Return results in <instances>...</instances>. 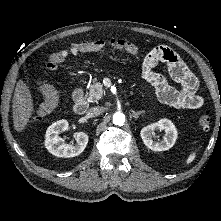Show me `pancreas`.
<instances>
[{
	"label": "pancreas",
	"mask_w": 221,
	"mask_h": 221,
	"mask_svg": "<svg viewBox=\"0 0 221 221\" xmlns=\"http://www.w3.org/2000/svg\"><path fill=\"white\" fill-rule=\"evenodd\" d=\"M104 93L103 84L100 82H95L90 85V89L87 98L90 102L99 100Z\"/></svg>",
	"instance_id": "1"
}]
</instances>
